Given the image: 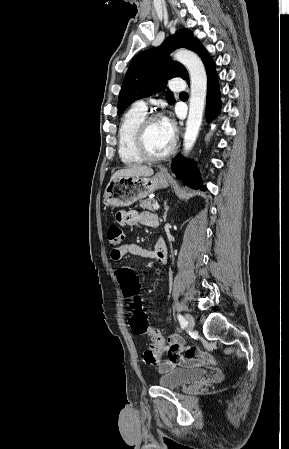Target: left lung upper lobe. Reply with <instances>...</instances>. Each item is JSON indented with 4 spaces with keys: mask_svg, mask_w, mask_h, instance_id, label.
<instances>
[{
    "mask_svg": "<svg viewBox=\"0 0 289 449\" xmlns=\"http://www.w3.org/2000/svg\"><path fill=\"white\" fill-rule=\"evenodd\" d=\"M181 47L193 50L201 58L207 55L193 33L189 29H181L160 47L143 51L132 59L119 93L118 115L135 100L162 91L167 80L174 77L188 79L185 67L169 57L174 49ZM166 99L170 104L175 102L172 92H166Z\"/></svg>",
    "mask_w": 289,
    "mask_h": 449,
    "instance_id": "left-lung-upper-lobe-1",
    "label": "left lung upper lobe"
}]
</instances>
